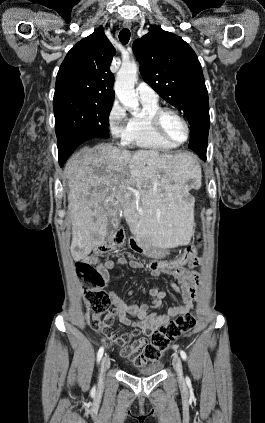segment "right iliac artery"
I'll return each mask as SVG.
<instances>
[{
    "label": "right iliac artery",
    "instance_id": "1",
    "mask_svg": "<svg viewBox=\"0 0 265 423\" xmlns=\"http://www.w3.org/2000/svg\"><path fill=\"white\" fill-rule=\"evenodd\" d=\"M103 353H104V348H103V347H101V348L99 349V351H98V354H97V362H98V363L100 362V360H101V358H102V356H103Z\"/></svg>",
    "mask_w": 265,
    "mask_h": 423
}]
</instances>
